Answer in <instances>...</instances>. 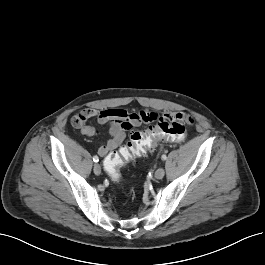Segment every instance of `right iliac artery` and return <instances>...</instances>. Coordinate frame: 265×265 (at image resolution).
I'll use <instances>...</instances> for the list:
<instances>
[{"instance_id": "obj_1", "label": "right iliac artery", "mask_w": 265, "mask_h": 265, "mask_svg": "<svg viewBox=\"0 0 265 265\" xmlns=\"http://www.w3.org/2000/svg\"><path fill=\"white\" fill-rule=\"evenodd\" d=\"M93 161H94V162H98V161H99V157H98V156H94V157H93Z\"/></svg>"}]
</instances>
